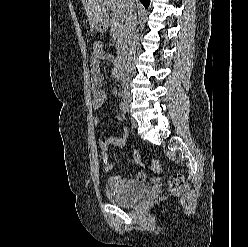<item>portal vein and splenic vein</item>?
Returning <instances> with one entry per match:
<instances>
[{"instance_id":"obj_1","label":"portal vein and splenic vein","mask_w":248,"mask_h":247,"mask_svg":"<svg viewBox=\"0 0 248 247\" xmlns=\"http://www.w3.org/2000/svg\"><path fill=\"white\" fill-rule=\"evenodd\" d=\"M120 14L119 13H115V16H119Z\"/></svg>"}]
</instances>
